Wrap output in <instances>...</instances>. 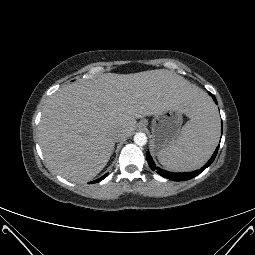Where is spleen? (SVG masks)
<instances>
[{
    "label": "spleen",
    "mask_w": 255,
    "mask_h": 255,
    "mask_svg": "<svg viewBox=\"0 0 255 255\" xmlns=\"http://www.w3.org/2000/svg\"><path fill=\"white\" fill-rule=\"evenodd\" d=\"M220 119L208 97L200 103L182 127L180 135L158 153L159 162L172 171H192L211 157L219 141Z\"/></svg>",
    "instance_id": "obj_1"
}]
</instances>
